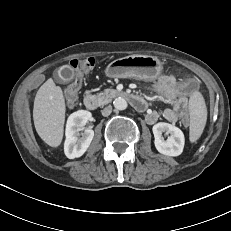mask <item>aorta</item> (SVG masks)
Wrapping results in <instances>:
<instances>
[{"label":"aorta","mask_w":231,"mask_h":231,"mask_svg":"<svg viewBox=\"0 0 231 231\" xmlns=\"http://www.w3.org/2000/svg\"><path fill=\"white\" fill-rule=\"evenodd\" d=\"M113 105L117 110H125L128 107L127 101L122 97H117L113 101Z\"/></svg>","instance_id":"762f6f07"}]
</instances>
